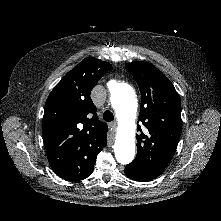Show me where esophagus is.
Here are the masks:
<instances>
[{
  "label": "esophagus",
  "mask_w": 221,
  "mask_h": 221,
  "mask_svg": "<svg viewBox=\"0 0 221 221\" xmlns=\"http://www.w3.org/2000/svg\"><path fill=\"white\" fill-rule=\"evenodd\" d=\"M110 127H111V130H112L113 132H115L116 129H117V122H116V121L111 122V123H110Z\"/></svg>",
  "instance_id": "1"
}]
</instances>
